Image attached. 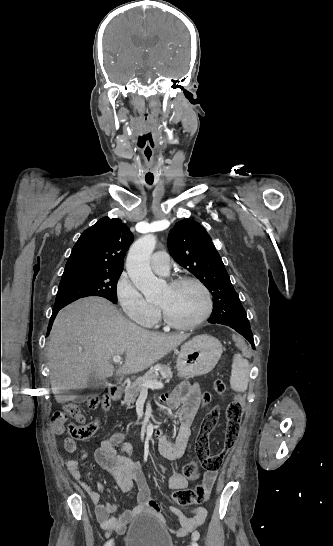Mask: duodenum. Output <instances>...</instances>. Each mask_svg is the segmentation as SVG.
I'll list each match as a JSON object with an SVG mask.
<instances>
[{
    "mask_svg": "<svg viewBox=\"0 0 333 546\" xmlns=\"http://www.w3.org/2000/svg\"><path fill=\"white\" fill-rule=\"evenodd\" d=\"M108 395L112 400H117L120 395V388L115 384H110L108 387Z\"/></svg>",
    "mask_w": 333,
    "mask_h": 546,
    "instance_id": "duodenum-1",
    "label": "duodenum"
}]
</instances>
